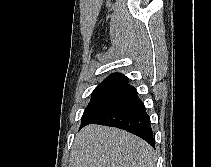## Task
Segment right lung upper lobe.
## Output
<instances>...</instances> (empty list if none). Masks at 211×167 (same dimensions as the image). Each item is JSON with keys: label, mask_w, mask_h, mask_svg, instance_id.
I'll return each mask as SVG.
<instances>
[{"label": "right lung upper lobe", "mask_w": 211, "mask_h": 167, "mask_svg": "<svg viewBox=\"0 0 211 167\" xmlns=\"http://www.w3.org/2000/svg\"><path fill=\"white\" fill-rule=\"evenodd\" d=\"M111 80V81H127V77L122 74H111L109 77H107L104 81Z\"/></svg>", "instance_id": "right-lung-upper-lobe-1"}]
</instances>
